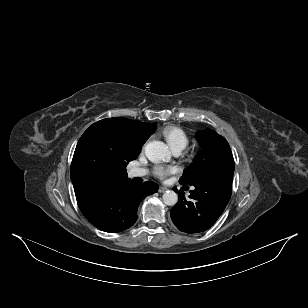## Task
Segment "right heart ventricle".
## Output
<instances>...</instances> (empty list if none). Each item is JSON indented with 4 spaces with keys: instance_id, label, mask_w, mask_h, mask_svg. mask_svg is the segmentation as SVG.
<instances>
[{
    "instance_id": "e07e8e85",
    "label": "right heart ventricle",
    "mask_w": 308,
    "mask_h": 308,
    "mask_svg": "<svg viewBox=\"0 0 308 308\" xmlns=\"http://www.w3.org/2000/svg\"><path fill=\"white\" fill-rule=\"evenodd\" d=\"M162 135L172 150L175 148L183 149L189 142L188 134L178 126L166 127Z\"/></svg>"
}]
</instances>
